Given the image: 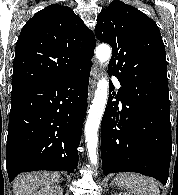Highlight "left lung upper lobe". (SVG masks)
I'll use <instances>...</instances> for the list:
<instances>
[{"label":"left lung upper lobe","mask_w":178,"mask_h":195,"mask_svg":"<svg viewBox=\"0 0 178 195\" xmlns=\"http://www.w3.org/2000/svg\"><path fill=\"white\" fill-rule=\"evenodd\" d=\"M95 35L112 47L108 70L138 95L169 101L165 46L156 23L115 0L97 17Z\"/></svg>","instance_id":"5c2ea615"}]
</instances>
